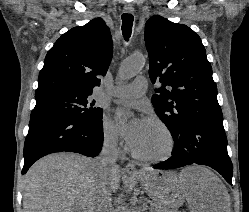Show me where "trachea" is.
<instances>
[{"instance_id": "trachea-1", "label": "trachea", "mask_w": 249, "mask_h": 212, "mask_svg": "<svg viewBox=\"0 0 249 212\" xmlns=\"http://www.w3.org/2000/svg\"><path fill=\"white\" fill-rule=\"evenodd\" d=\"M122 34L125 40L130 38L132 33V25H133V15L131 13H123L122 15Z\"/></svg>"}]
</instances>
